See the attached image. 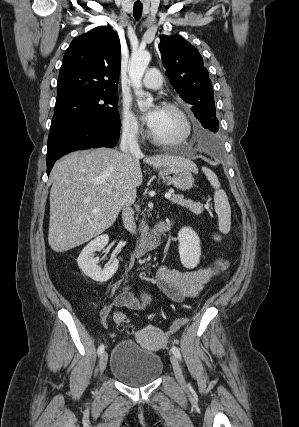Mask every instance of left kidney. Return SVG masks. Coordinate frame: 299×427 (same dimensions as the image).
Returning <instances> with one entry per match:
<instances>
[{
  "instance_id": "5707ae66",
  "label": "left kidney",
  "mask_w": 299,
  "mask_h": 427,
  "mask_svg": "<svg viewBox=\"0 0 299 427\" xmlns=\"http://www.w3.org/2000/svg\"><path fill=\"white\" fill-rule=\"evenodd\" d=\"M179 256L187 269L195 268L200 262L201 247L197 233L190 227H183L178 233Z\"/></svg>"
}]
</instances>
